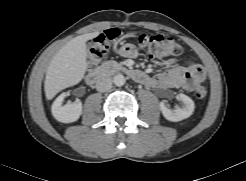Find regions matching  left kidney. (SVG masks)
I'll use <instances>...</instances> for the list:
<instances>
[{
  "label": "left kidney",
  "mask_w": 246,
  "mask_h": 181,
  "mask_svg": "<svg viewBox=\"0 0 246 181\" xmlns=\"http://www.w3.org/2000/svg\"><path fill=\"white\" fill-rule=\"evenodd\" d=\"M178 97L183 102L182 108L177 107L174 110H171L166 106V101L160 102L159 105L163 116L172 122H178L190 117L195 108L194 101L187 95L181 93Z\"/></svg>",
  "instance_id": "left-kidney-1"
}]
</instances>
